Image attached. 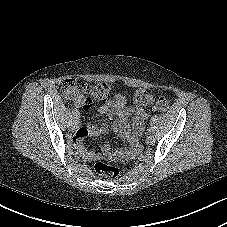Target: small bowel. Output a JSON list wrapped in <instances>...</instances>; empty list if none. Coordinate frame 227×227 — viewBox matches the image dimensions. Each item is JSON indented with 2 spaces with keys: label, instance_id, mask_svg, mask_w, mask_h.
I'll list each match as a JSON object with an SVG mask.
<instances>
[{
  "label": "small bowel",
  "instance_id": "1",
  "mask_svg": "<svg viewBox=\"0 0 227 227\" xmlns=\"http://www.w3.org/2000/svg\"><path fill=\"white\" fill-rule=\"evenodd\" d=\"M75 106L86 111L91 109V101L85 98L82 94H78L73 98ZM100 114H110L116 118L113 124V130L117 132L123 139L128 141L129 147L121 149L117 152H112L110 148L104 147L103 154L108 158H123L134 155L139 146V137L144 130V123L148 117V112L144 105L134 99L133 105L127 104L124 95L117 94L112 99H105L98 109ZM132 115L131 126L128 123V116ZM108 131L106 124L89 125L79 128L76 131L74 142L80 145L87 137L99 136ZM85 157L94 159L97 155L91 152H84Z\"/></svg>",
  "mask_w": 227,
  "mask_h": 227
}]
</instances>
